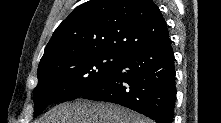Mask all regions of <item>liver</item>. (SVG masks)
Here are the masks:
<instances>
[{
  "label": "liver",
  "mask_w": 221,
  "mask_h": 123,
  "mask_svg": "<svg viewBox=\"0 0 221 123\" xmlns=\"http://www.w3.org/2000/svg\"><path fill=\"white\" fill-rule=\"evenodd\" d=\"M41 123H152L116 104L77 100L52 108Z\"/></svg>",
  "instance_id": "1"
}]
</instances>
